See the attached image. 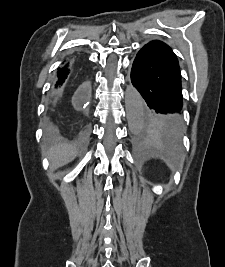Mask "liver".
Listing matches in <instances>:
<instances>
[{
  "label": "liver",
  "mask_w": 225,
  "mask_h": 267,
  "mask_svg": "<svg viewBox=\"0 0 225 267\" xmlns=\"http://www.w3.org/2000/svg\"><path fill=\"white\" fill-rule=\"evenodd\" d=\"M47 156L51 169H57L73 161L77 156V149L67 143H59L48 151Z\"/></svg>",
  "instance_id": "liver-1"
}]
</instances>
